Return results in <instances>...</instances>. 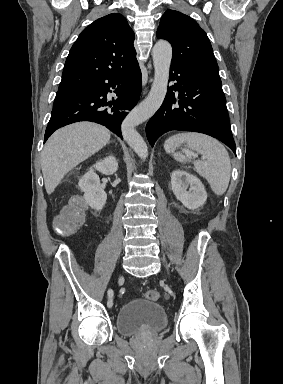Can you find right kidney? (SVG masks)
<instances>
[{
  "instance_id": "ca27d5eb",
  "label": "right kidney",
  "mask_w": 283,
  "mask_h": 384,
  "mask_svg": "<svg viewBox=\"0 0 283 384\" xmlns=\"http://www.w3.org/2000/svg\"><path fill=\"white\" fill-rule=\"evenodd\" d=\"M93 168L101 172V174H105V176H111V174L117 172L118 162L114 156H108L101 162H97ZM93 168H90L89 172L80 178L78 186L81 192H84V200H86L88 206L92 210L100 212L106 204L107 194L102 190L100 178L95 174Z\"/></svg>"
}]
</instances>
